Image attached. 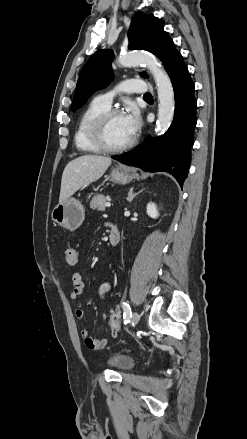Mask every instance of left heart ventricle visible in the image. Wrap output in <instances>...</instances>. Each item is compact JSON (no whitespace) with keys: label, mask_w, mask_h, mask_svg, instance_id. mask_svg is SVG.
<instances>
[{"label":"left heart ventricle","mask_w":247,"mask_h":439,"mask_svg":"<svg viewBox=\"0 0 247 439\" xmlns=\"http://www.w3.org/2000/svg\"><path fill=\"white\" fill-rule=\"evenodd\" d=\"M106 140L111 146H120L127 143L132 137L129 135L122 115L112 117L106 127Z\"/></svg>","instance_id":"left-heart-ventricle-1"}]
</instances>
